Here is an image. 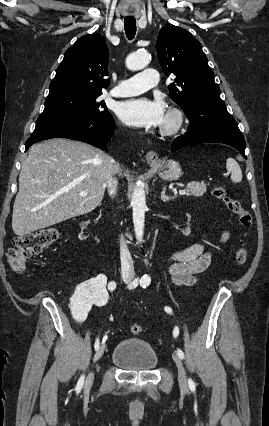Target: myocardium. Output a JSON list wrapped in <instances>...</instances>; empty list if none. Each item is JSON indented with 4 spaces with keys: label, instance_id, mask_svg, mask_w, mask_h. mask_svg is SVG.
Segmentation results:
<instances>
[{
    "label": "myocardium",
    "instance_id": "1",
    "mask_svg": "<svg viewBox=\"0 0 269 426\" xmlns=\"http://www.w3.org/2000/svg\"><path fill=\"white\" fill-rule=\"evenodd\" d=\"M185 122L186 116L184 112L179 108H171L161 128V134L166 137L174 136L182 130Z\"/></svg>",
    "mask_w": 269,
    "mask_h": 426
}]
</instances>
